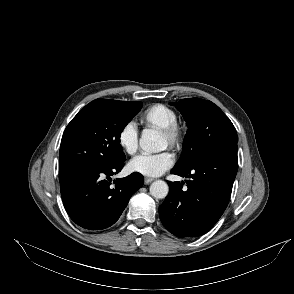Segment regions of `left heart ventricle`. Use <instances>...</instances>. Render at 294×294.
<instances>
[{"mask_svg": "<svg viewBox=\"0 0 294 294\" xmlns=\"http://www.w3.org/2000/svg\"><path fill=\"white\" fill-rule=\"evenodd\" d=\"M161 143L163 148L168 145V141L163 135H161Z\"/></svg>", "mask_w": 294, "mask_h": 294, "instance_id": "1", "label": "left heart ventricle"}]
</instances>
